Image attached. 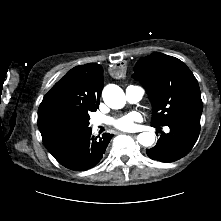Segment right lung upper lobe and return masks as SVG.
<instances>
[{"mask_svg":"<svg viewBox=\"0 0 221 221\" xmlns=\"http://www.w3.org/2000/svg\"><path fill=\"white\" fill-rule=\"evenodd\" d=\"M102 88V67L89 63L72 68L45 95L38 110V127L50 153L59 150L51 137V123L59 118H83L96 111Z\"/></svg>","mask_w":221,"mask_h":221,"instance_id":"right-lung-upper-lobe-1","label":"right lung upper lobe"}]
</instances>
